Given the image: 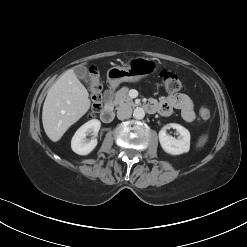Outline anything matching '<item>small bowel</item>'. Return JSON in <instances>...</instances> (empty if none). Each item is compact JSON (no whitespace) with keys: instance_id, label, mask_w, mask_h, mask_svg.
I'll use <instances>...</instances> for the list:
<instances>
[{"instance_id":"obj_1","label":"small bowel","mask_w":247,"mask_h":247,"mask_svg":"<svg viewBox=\"0 0 247 247\" xmlns=\"http://www.w3.org/2000/svg\"><path fill=\"white\" fill-rule=\"evenodd\" d=\"M148 103L153 106V111H157L162 116H169L174 109H178L186 122L195 119L193 101L184 93H171L159 100L151 99Z\"/></svg>"}]
</instances>
